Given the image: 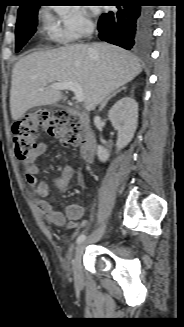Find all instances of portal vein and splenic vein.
<instances>
[{"label": "portal vein and splenic vein", "mask_w": 184, "mask_h": 327, "mask_svg": "<svg viewBox=\"0 0 184 327\" xmlns=\"http://www.w3.org/2000/svg\"><path fill=\"white\" fill-rule=\"evenodd\" d=\"M50 87L54 90H70L74 93L75 99L77 102L81 103L84 101V93L82 88L73 82H64V83H53ZM44 88H40L39 91H43Z\"/></svg>", "instance_id": "obj_1"}]
</instances>
